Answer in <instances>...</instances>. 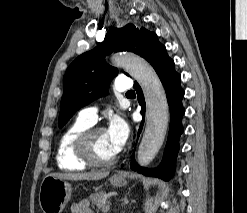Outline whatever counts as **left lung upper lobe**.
<instances>
[{
  "mask_svg": "<svg viewBox=\"0 0 247 213\" xmlns=\"http://www.w3.org/2000/svg\"><path fill=\"white\" fill-rule=\"evenodd\" d=\"M114 51L134 52L153 67L168 58L165 46L158 41L155 33L143 27L138 29L133 24L111 29L101 44L77 57L67 68L63 77L60 128L79 108L108 94L110 82L118 70L105 63L104 58Z\"/></svg>",
  "mask_w": 247,
  "mask_h": 213,
  "instance_id": "obj_1",
  "label": "left lung upper lobe"
}]
</instances>
